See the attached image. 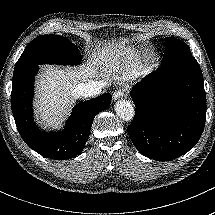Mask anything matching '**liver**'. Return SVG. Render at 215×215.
Returning <instances> with one entry per match:
<instances>
[{
	"instance_id": "obj_1",
	"label": "liver",
	"mask_w": 215,
	"mask_h": 215,
	"mask_svg": "<svg viewBox=\"0 0 215 215\" xmlns=\"http://www.w3.org/2000/svg\"><path fill=\"white\" fill-rule=\"evenodd\" d=\"M114 51V48H104L95 56L94 60L101 62L105 59L110 61ZM132 74L141 76L143 74V66L138 65L135 67ZM91 76L92 70L88 67L80 70L44 67V74L39 77L36 109L38 117L47 123V127L58 124L74 103L73 95L78 96L76 92L77 80Z\"/></svg>"
}]
</instances>
